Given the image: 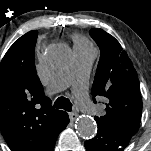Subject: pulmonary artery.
Masks as SVG:
<instances>
[{
	"instance_id": "e3ab8cb5",
	"label": "pulmonary artery",
	"mask_w": 151,
	"mask_h": 151,
	"mask_svg": "<svg viewBox=\"0 0 151 151\" xmlns=\"http://www.w3.org/2000/svg\"><path fill=\"white\" fill-rule=\"evenodd\" d=\"M75 60L68 72L52 84L54 91H60L71 85L78 105L90 114H95L98 108L91 102L87 94L88 78L94 59L96 49L92 46H75Z\"/></svg>"
}]
</instances>
